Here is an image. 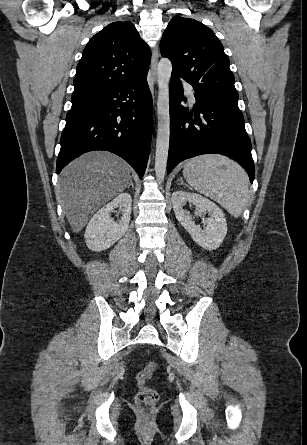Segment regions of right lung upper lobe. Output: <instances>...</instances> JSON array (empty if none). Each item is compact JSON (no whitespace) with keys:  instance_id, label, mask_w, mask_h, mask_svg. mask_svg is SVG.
<instances>
[{"instance_id":"cb5924a9","label":"right lung upper lobe","mask_w":307,"mask_h":445,"mask_svg":"<svg viewBox=\"0 0 307 445\" xmlns=\"http://www.w3.org/2000/svg\"><path fill=\"white\" fill-rule=\"evenodd\" d=\"M151 53L129 21L109 24L86 45L77 65L72 97L129 83L149 69Z\"/></svg>"}]
</instances>
